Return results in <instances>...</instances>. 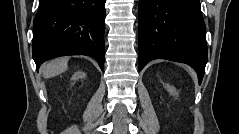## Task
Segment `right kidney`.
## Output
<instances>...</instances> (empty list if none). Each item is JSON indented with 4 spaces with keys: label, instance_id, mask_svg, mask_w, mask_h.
Here are the masks:
<instances>
[{
    "label": "right kidney",
    "instance_id": "obj_1",
    "mask_svg": "<svg viewBox=\"0 0 239 134\" xmlns=\"http://www.w3.org/2000/svg\"><path fill=\"white\" fill-rule=\"evenodd\" d=\"M86 74L84 72L78 71L72 76V80H76L79 78H85Z\"/></svg>",
    "mask_w": 239,
    "mask_h": 134
}]
</instances>
